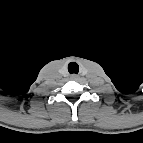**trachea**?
I'll use <instances>...</instances> for the list:
<instances>
[{
    "instance_id": "1",
    "label": "trachea",
    "mask_w": 143,
    "mask_h": 143,
    "mask_svg": "<svg viewBox=\"0 0 143 143\" xmlns=\"http://www.w3.org/2000/svg\"><path fill=\"white\" fill-rule=\"evenodd\" d=\"M68 71L70 74H78L79 66L76 62H70L68 64Z\"/></svg>"
}]
</instances>
